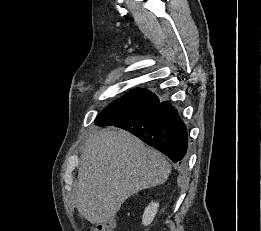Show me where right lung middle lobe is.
<instances>
[{
  "instance_id": "1",
  "label": "right lung middle lobe",
  "mask_w": 261,
  "mask_h": 231,
  "mask_svg": "<svg viewBox=\"0 0 261 231\" xmlns=\"http://www.w3.org/2000/svg\"><path fill=\"white\" fill-rule=\"evenodd\" d=\"M160 102L155 94L142 89L133 90L107 106L95 119L98 126H111L131 119Z\"/></svg>"
}]
</instances>
